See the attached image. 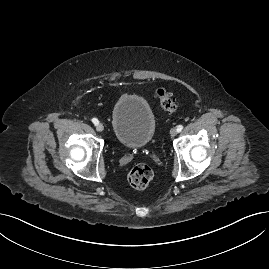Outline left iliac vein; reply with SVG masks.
Segmentation results:
<instances>
[{"label":"left iliac vein","instance_id":"1","mask_svg":"<svg viewBox=\"0 0 269 269\" xmlns=\"http://www.w3.org/2000/svg\"><path fill=\"white\" fill-rule=\"evenodd\" d=\"M177 129L176 128H172L171 130H170V135L171 136H175L176 134H177Z\"/></svg>","mask_w":269,"mask_h":269}]
</instances>
